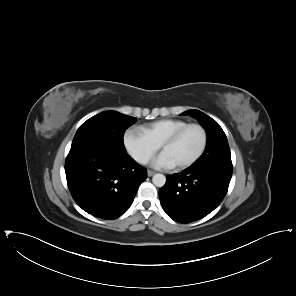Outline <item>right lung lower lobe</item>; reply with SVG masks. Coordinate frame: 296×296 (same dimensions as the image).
Returning <instances> with one entry per match:
<instances>
[{"label":"right lung lower lobe","mask_w":296,"mask_h":296,"mask_svg":"<svg viewBox=\"0 0 296 296\" xmlns=\"http://www.w3.org/2000/svg\"><path fill=\"white\" fill-rule=\"evenodd\" d=\"M65 172L75 202L87 213L108 220L127 211L147 178L146 169L127 152L90 145L70 149Z\"/></svg>","instance_id":"obj_1"}]
</instances>
